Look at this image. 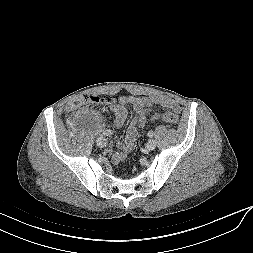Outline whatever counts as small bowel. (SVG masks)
Returning <instances> with one entry per match:
<instances>
[{
	"label": "small bowel",
	"instance_id": "small-bowel-1",
	"mask_svg": "<svg viewBox=\"0 0 253 253\" xmlns=\"http://www.w3.org/2000/svg\"><path fill=\"white\" fill-rule=\"evenodd\" d=\"M126 104H129L134 108L135 115L126 129L125 140L120 143L121 149L112 157V162L114 164H118L123 161L126 156L133 150L136 145L138 131L140 128H143L145 126L147 114L155 105L162 106L166 112L163 114L155 115L152 118V121H156L160 118L164 119V116L168 113L177 114L181 111V107L175 99L164 95H151L145 97H121L118 103L113 106L115 113V128H120L125 122L127 116V111L125 108Z\"/></svg>",
	"mask_w": 253,
	"mask_h": 253
}]
</instances>
